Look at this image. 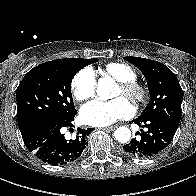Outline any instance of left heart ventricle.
I'll return each mask as SVG.
<instances>
[{"label":"left heart ventricle","mask_w":196,"mask_h":196,"mask_svg":"<svg viewBox=\"0 0 196 196\" xmlns=\"http://www.w3.org/2000/svg\"><path fill=\"white\" fill-rule=\"evenodd\" d=\"M114 96H115V97L124 96L122 90H121L119 87L116 88V91H115V93H114Z\"/></svg>","instance_id":"b2bd125f"}]
</instances>
